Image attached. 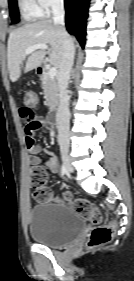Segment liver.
Wrapping results in <instances>:
<instances>
[{
    "instance_id": "liver-1",
    "label": "liver",
    "mask_w": 134,
    "mask_h": 281,
    "mask_svg": "<svg viewBox=\"0 0 134 281\" xmlns=\"http://www.w3.org/2000/svg\"><path fill=\"white\" fill-rule=\"evenodd\" d=\"M36 44L50 46L49 62L59 68L63 47L61 29L52 20H40L25 24L15 29L9 35L7 46V64L9 77L12 82H16L21 75V64L26 59L25 71H31L39 67L46 55L45 50L38 49L30 54L25 50Z\"/></svg>"
}]
</instances>
